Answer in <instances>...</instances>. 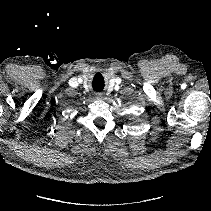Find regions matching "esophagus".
<instances>
[{
    "label": "esophagus",
    "instance_id": "34e87169",
    "mask_svg": "<svg viewBox=\"0 0 211 211\" xmlns=\"http://www.w3.org/2000/svg\"><path fill=\"white\" fill-rule=\"evenodd\" d=\"M96 96H97L98 98H102V97H103V95H102L101 93H97Z\"/></svg>",
    "mask_w": 211,
    "mask_h": 211
}]
</instances>
